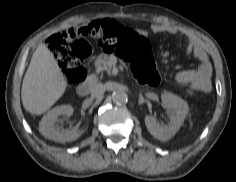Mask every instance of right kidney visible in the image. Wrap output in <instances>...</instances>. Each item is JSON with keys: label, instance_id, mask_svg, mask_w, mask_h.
<instances>
[{"label": "right kidney", "instance_id": "obj_1", "mask_svg": "<svg viewBox=\"0 0 236 182\" xmlns=\"http://www.w3.org/2000/svg\"><path fill=\"white\" fill-rule=\"evenodd\" d=\"M72 114L73 108L70 105L53 108L43 116L39 124L40 133L50 140L62 143L78 139L85 132V129H60V127L56 126L59 116H71Z\"/></svg>", "mask_w": 236, "mask_h": 182}]
</instances>
